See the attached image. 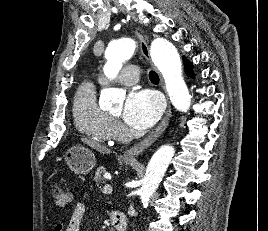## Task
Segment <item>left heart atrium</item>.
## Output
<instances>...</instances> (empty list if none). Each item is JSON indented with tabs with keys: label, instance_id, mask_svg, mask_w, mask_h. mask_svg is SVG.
I'll return each mask as SVG.
<instances>
[{
	"label": "left heart atrium",
	"instance_id": "left-heart-atrium-1",
	"mask_svg": "<svg viewBox=\"0 0 268 231\" xmlns=\"http://www.w3.org/2000/svg\"><path fill=\"white\" fill-rule=\"evenodd\" d=\"M163 111L160 97L147 89L132 90L125 101L123 118L136 129H145L157 122Z\"/></svg>",
	"mask_w": 268,
	"mask_h": 231
}]
</instances>
